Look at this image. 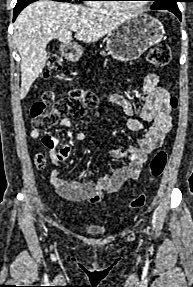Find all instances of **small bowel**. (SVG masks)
<instances>
[{"label":"small bowel","instance_id":"1","mask_svg":"<svg viewBox=\"0 0 193 287\" xmlns=\"http://www.w3.org/2000/svg\"><path fill=\"white\" fill-rule=\"evenodd\" d=\"M157 73H148L142 82L141 93L143 103L134 116V107L121 94H112L107 104L120 107L128 116V128L133 132H142L136 145L125 148L115 147L110 150L113 158L126 159L128 165L111 174H101L86 182L68 181L62 177L60 164L71 156L70 146L60 148L58 136L45 135L42 137L44 148H52L50 153L51 164L55 169L51 172L50 182L55 190L63 197L73 201H89L96 203L102 200L105 193H113L127 181L136 179L147 160L149 154L158 149L172 128L168 93L165 88L158 86ZM60 124L72 128L73 123L68 118H62ZM33 139L41 137V132L33 128L29 132ZM77 139L86 140V135L77 133Z\"/></svg>","mask_w":193,"mask_h":287}]
</instances>
